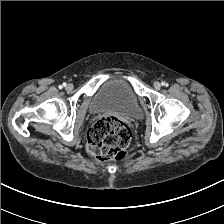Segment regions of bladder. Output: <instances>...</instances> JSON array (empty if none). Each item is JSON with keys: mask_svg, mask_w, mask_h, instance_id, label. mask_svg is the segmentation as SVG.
I'll return each instance as SVG.
<instances>
[{"mask_svg": "<svg viewBox=\"0 0 224 224\" xmlns=\"http://www.w3.org/2000/svg\"><path fill=\"white\" fill-rule=\"evenodd\" d=\"M89 109L93 113L111 111L132 118L140 115L138 96L123 77L102 82L91 98Z\"/></svg>", "mask_w": 224, "mask_h": 224, "instance_id": "bladder-1", "label": "bladder"}]
</instances>
